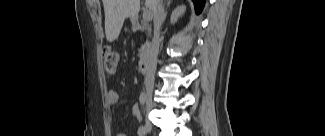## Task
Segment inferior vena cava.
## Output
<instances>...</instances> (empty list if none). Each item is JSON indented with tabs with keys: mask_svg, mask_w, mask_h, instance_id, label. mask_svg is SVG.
Instances as JSON below:
<instances>
[{
	"mask_svg": "<svg viewBox=\"0 0 325 136\" xmlns=\"http://www.w3.org/2000/svg\"><path fill=\"white\" fill-rule=\"evenodd\" d=\"M150 2L152 5V10L154 12V41L152 45L150 64L145 77L146 96L149 99H151L152 97V92L154 88L157 55H158L159 44H160L159 33H160L161 24L163 22V12H164L162 0H150Z\"/></svg>",
	"mask_w": 325,
	"mask_h": 136,
	"instance_id": "inferior-vena-cava-1",
	"label": "inferior vena cava"
}]
</instances>
